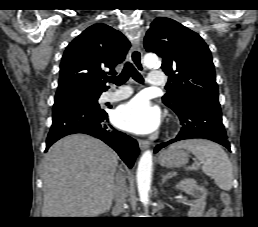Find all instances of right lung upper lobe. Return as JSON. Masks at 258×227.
I'll return each mask as SVG.
<instances>
[{"mask_svg": "<svg viewBox=\"0 0 258 227\" xmlns=\"http://www.w3.org/2000/svg\"><path fill=\"white\" fill-rule=\"evenodd\" d=\"M130 42L106 24H94L66 48L57 92L81 88L97 92L108 89L106 74H115V66L124 61Z\"/></svg>", "mask_w": 258, "mask_h": 227, "instance_id": "cb5924a9", "label": "right lung upper lobe"}]
</instances>
